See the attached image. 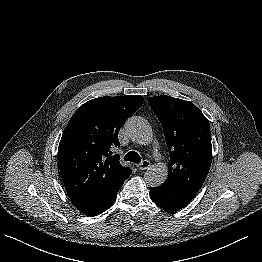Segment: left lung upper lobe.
<instances>
[{
	"label": "left lung upper lobe",
	"mask_w": 262,
	"mask_h": 262,
	"mask_svg": "<svg viewBox=\"0 0 262 262\" xmlns=\"http://www.w3.org/2000/svg\"><path fill=\"white\" fill-rule=\"evenodd\" d=\"M147 100L162 124L169 149V173L165 182L197 193L212 161L207 118L189 101L167 95Z\"/></svg>",
	"instance_id": "1"
}]
</instances>
